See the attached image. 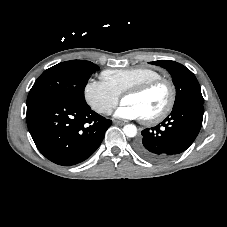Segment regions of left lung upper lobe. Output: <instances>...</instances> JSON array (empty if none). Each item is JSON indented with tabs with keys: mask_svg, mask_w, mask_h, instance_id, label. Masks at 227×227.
<instances>
[{
	"mask_svg": "<svg viewBox=\"0 0 227 227\" xmlns=\"http://www.w3.org/2000/svg\"><path fill=\"white\" fill-rule=\"evenodd\" d=\"M150 63L165 68L171 74L176 87L174 107L189 101L204 103L200 85L188 68L171 60H158Z\"/></svg>",
	"mask_w": 227,
	"mask_h": 227,
	"instance_id": "5c2ea615",
	"label": "left lung upper lobe"
}]
</instances>
